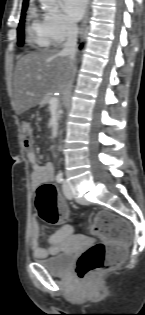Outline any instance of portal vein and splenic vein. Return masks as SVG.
Segmentation results:
<instances>
[{
	"label": "portal vein and splenic vein",
	"instance_id": "obj_1",
	"mask_svg": "<svg viewBox=\"0 0 145 315\" xmlns=\"http://www.w3.org/2000/svg\"><path fill=\"white\" fill-rule=\"evenodd\" d=\"M57 98H55V97H52L51 99H50V101H49V103L51 104V105H55L56 103H57Z\"/></svg>",
	"mask_w": 145,
	"mask_h": 315
}]
</instances>
